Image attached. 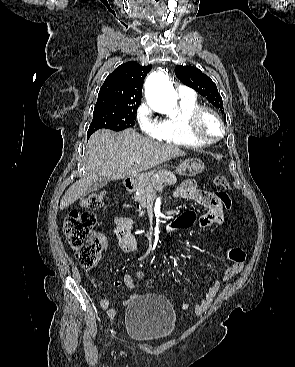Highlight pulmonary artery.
<instances>
[{
  "label": "pulmonary artery",
  "instance_id": "obj_1",
  "mask_svg": "<svg viewBox=\"0 0 295 367\" xmlns=\"http://www.w3.org/2000/svg\"><path fill=\"white\" fill-rule=\"evenodd\" d=\"M178 93H179L180 98H185V99L195 98V92L191 88H188L185 86H179Z\"/></svg>",
  "mask_w": 295,
  "mask_h": 367
}]
</instances>
